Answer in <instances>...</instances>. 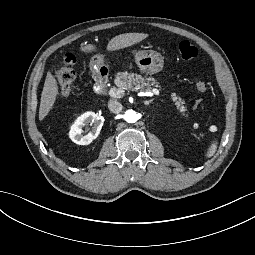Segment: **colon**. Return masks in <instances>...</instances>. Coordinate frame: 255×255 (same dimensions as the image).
Wrapping results in <instances>:
<instances>
[{
	"instance_id": "1",
	"label": "colon",
	"mask_w": 255,
	"mask_h": 255,
	"mask_svg": "<svg viewBox=\"0 0 255 255\" xmlns=\"http://www.w3.org/2000/svg\"><path fill=\"white\" fill-rule=\"evenodd\" d=\"M178 51L183 60H192L198 55V49L188 41H182L179 44ZM74 63V56L67 55L63 65L56 72L59 89L63 95H68L71 92L75 80ZM196 87L199 91L204 92L207 89V84L204 81H198Z\"/></svg>"
}]
</instances>
